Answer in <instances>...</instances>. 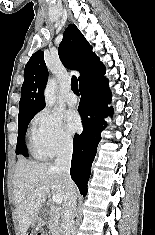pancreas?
I'll return each mask as SVG.
<instances>
[{"instance_id":"pancreas-1","label":"pancreas","mask_w":155,"mask_h":235,"mask_svg":"<svg viewBox=\"0 0 155 235\" xmlns=\"http://www.w3.org/2000/svg\"><path fill=\"white\" fill-rule=\"evenodd\" d=\"M48 228L52 235H63V226L59 222L57 215L51 216L50 220L48 221Z\"/></svg>"}]
</instances>
